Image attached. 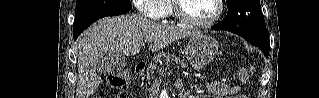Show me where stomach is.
Here are the masks:
<instances>
[{
    "label": "stomach",
    "mask_w": 319,
    "mask_h": 98,
    "mask_svg": "<svg viewBox=\"0 0 319 98\" xmlns=\"http://www.w3.org/2000/svg\"><path fill=\"white\" fill-rule=\"evenodd\" d=\"M218 48L214 38L202 33L192 35L185 48V57L194 68L200 69L215 58Z\"/></svg>",
    "instance_id": "0dacf381"
}]
</instances>
